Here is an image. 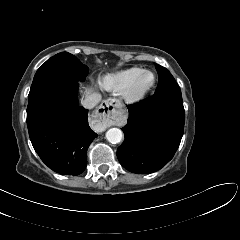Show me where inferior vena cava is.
<instances>
[{"mask_svg":"<svg viewBox=\"0 0 240 240\" xmlns=\"http://www.w3.org/2000/svg\"><path fill=\"white\" fill-rule=\"evenodd\" d=\"M101 101V94L97 92L90 93L86 95L84 100H82V105L86 109L94 108Z\"/></svg>","mask_w":240,"mask_h":240,"instance_id":"602c4592","label":"inferior vena cava"}]
</instances>
